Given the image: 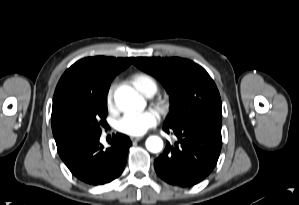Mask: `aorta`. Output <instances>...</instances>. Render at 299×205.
I'll return each instance as SVG.
<instances>
[{
	"label": "aorta",
	"mask_w": 299,
	"mask_h": 205,
	"mask_svg": "<svg viewBox=\"0 0 299 205\" xmlns=\"http://www.w3.org/2000/svg\"><path fill=\"white\" fill-rule=\"evenodd\" d=\"M116 105L124 111H135L145 107V101L131 87L123 86L114 95ZM146 148L152 153H158L163 148V141L158 136H150L146 140Z\"/></svg>",
	"instance_id": "aorta-1"
}]
</instances>
